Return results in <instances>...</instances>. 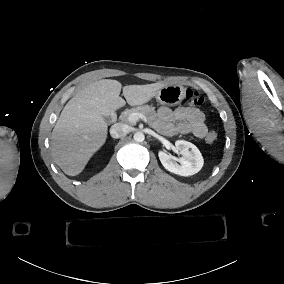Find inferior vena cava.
Segmentation results:
<instances>
[{
    "instance_id": "1",
    "label": "inferior vena cava",
    "mask_w": 284,
    "mask_h": 284,
    "mask_svg": "<svg viewBox=\"0 0 284 284\" xmlns=\"http://www.w3.org/2000/svg\"><path fill=\"white\" fill-rule=\"evenodd\" d=\"M129 131V127L123 123H116L110 128V134L113 138H120L127 134Z\"/></svg>"
}]
</instances>
